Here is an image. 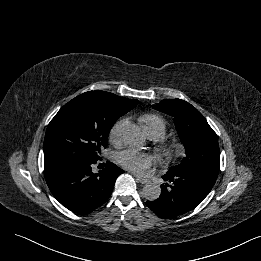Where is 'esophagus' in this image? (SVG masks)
<instances>
[{"mask_svg":"<svg viewBox=\"0 0 261 261\" xmlns=\"http://www.w3.org/2000/svg\"><path fill=\"white\" fill-rule=\"evenodd\" d=\"M136 180L137 182L141 183V184H147L150 182L149 179L147 178H143V177H140V176H136Z\"/></svg>","mask_w":261,"mask_h":261,"instance_id":"34e87169","label":"esophagus"}]
</instances>
